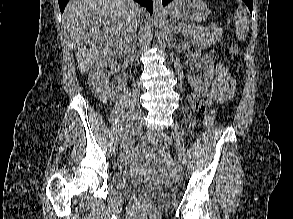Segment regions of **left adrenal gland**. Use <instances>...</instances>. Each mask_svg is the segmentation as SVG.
<instances>
[{
    "label": "left adrenal gland",
    "mask_w": 293,
    "mask_h": 219,
    "mask_svg": "<svg viewBox=\"0 0 293 219\" xmlns=\"http://www.w3.org/2000/svg\"><path fill=\"white\" fill-rule=\"evenodd\" d=\"M172 31H173L174 33H176L177 31H180V30H178V28H177V25H176V22H175V21H173V22H172Z\"/></svg>",
    "instance_id": "1"
}]
</instances>
